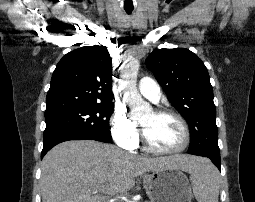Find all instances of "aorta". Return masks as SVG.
Listing matches in <instances>:
<instances>
[{"label": "aorta", "mask_w": 255, "mask_h": 202, "mask_svg": "<svg viewBox=\"0 0 255 202\" xmlns=\"http://www.w3.org/2000/svg\"><path fill=\"white\" fill-rule=\"evenodd\" d=\"M139 70L137 59L128 60L121 70V88L124 98L130 107L131 117L139 119L151 112L149 103L145 102L137 90L136 77Z\"/></svg>", "instance_id": "aorta-1"}]
</instances>
